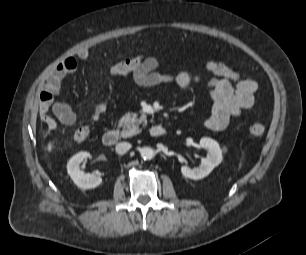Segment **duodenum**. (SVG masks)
<instances>
[{
	"label": "duodenum",
	"mask_w": 306,
	"mask_h": 255,
	"mask_svg": "<svg viewBox=\"0 0 306 255\" xmlns=\"http://www.w3.org/2000/svg\"><path fill=\"white\" fill-rule=\"evenodd\" d=\"M149 133L152 137H161L166 133V129L161 125L152 126L149 129ZM120 139V134L116 129L107 130L103 136L102 141L106 146L115 145Z\"/></svg>",
	"instance_id": "duodenum-1"
}]
</instances>
